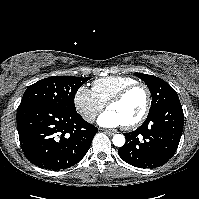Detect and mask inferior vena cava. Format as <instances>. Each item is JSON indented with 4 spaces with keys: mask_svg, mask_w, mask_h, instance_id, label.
<instances>
[{
    "mask_svg": "<svg viewBox=\"0 0 199 199\" xmlns=\"http://www.w3.org/2000/svg\"><path fill=\"white\" fill-rule=\"evenodd\" d=\"M84 117L86 121L93 122L96 118V114L91 112V113L86 114Z\"/></svg>",
    "mask_w": 199,
    "mask_h": 199,
    "instance_id": "1",
    "label": "inferior vena cava"
}]
</instances>
